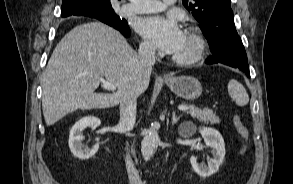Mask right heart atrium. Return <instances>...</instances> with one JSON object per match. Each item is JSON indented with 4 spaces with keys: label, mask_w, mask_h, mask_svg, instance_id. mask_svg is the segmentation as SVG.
<instances>
[{
    "label": "right heart atrium",
    "mask_w": 293,
    "mask_h": 184,
    "mask_svg": "<svg viewBox=\"0 0 293 184\" xmlns=\"http://www.w3.org/2000/svg\"><path fill=\"white\" fill-rule=\"evenodd\" d=\"M141 50L145 54H149V55H152L155 52V49H154L153 45L151 43H149L148 41H143L141 43Z\"/></svg>",
    "instance_id": "1"
}]
</instances>
